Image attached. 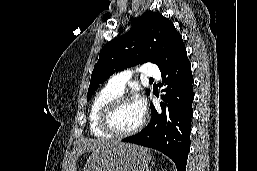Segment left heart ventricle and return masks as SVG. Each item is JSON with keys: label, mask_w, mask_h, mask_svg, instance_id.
<instances>
[{"label": "left heart ventricle", "mask_w": 257, "mask_h": 171, "mask_svg": "<svg viewBox=\"0 0 257 171\" xmlns=\"http://www.w3.org/2000/svg\"><path fill=\"white\" fill-rule=\"evenodd\" d=\"M142 119L133 102L120 105L113 113L111 123L117 131H128L136 127Z\"/></svg>", "instance_id": "1"}]
</instances>
